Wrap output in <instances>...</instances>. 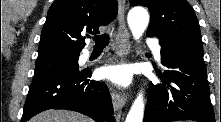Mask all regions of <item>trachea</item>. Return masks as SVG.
I'll list each match as a JSON object with an SVG mask.
<instances>
[{
	"mask_svg": "<svg viewBox=\"0 0 221 122\" xmlns=\"http://www.w3.org/2000/svg\"><path fill=\"white\" fill-rule=\"evenodd\" d=\"M93 40L95 41V47H105L109 43V35L104 34L101 36H95L93 37Z\"/></svg>",
	"mask_w": 221,
	"mask_h": 122,
	"instance_id": "trachea-1",
	"label": "trachea"
}]
</instances>
